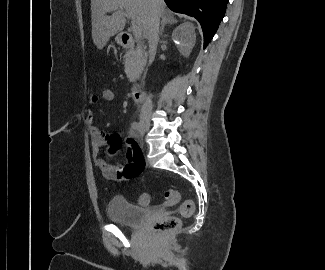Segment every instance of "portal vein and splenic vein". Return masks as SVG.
Here are the masks:
<instances>
[{
	"label": "portal vein and splenic vein",
	"mask_w": 325,
	"mask_h": 270,
	"mask_svg": "<svg viewBox=\"0 0 325 270\" xmlns=\"http://www.w3.org/2000/svg\"><path fill=\"white\" fill-rule=\"evenodd\" d=\"M114 10H118L117 7L115 8H110L108 11H114ZM128 18H130L131 16L129 14L126 15ZM132 32H133V35L137 38V39H142V33H141V30L140 28L136 25L135 22H132Z\"/></svg>",
	"instance_id": "obj_1"
}]
</instances>
